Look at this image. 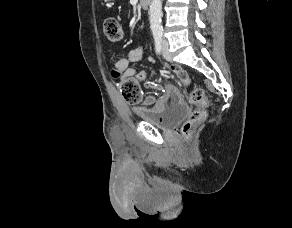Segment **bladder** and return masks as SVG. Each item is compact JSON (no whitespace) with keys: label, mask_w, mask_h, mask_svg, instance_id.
I'll return each instance as SVG.
<instances>
[{"label":"bladder","mask_w":292,"mask_h":228,"mask_svg":"<svg viewBox=\"0 0 292 228\" xmlns=\"http://www.w3.org/2000/svg\"><path fill=\"white\" fill-rule=\"evenodd\" d=\"M189 112V106L185 102L174 105L163 114H149L142 116V120L148 124L162 129L172 128L182 120Z\"/></svg>","instance_id":"31cf9c89"}]
</instances>
